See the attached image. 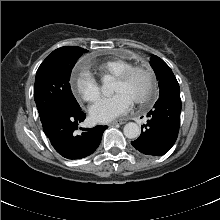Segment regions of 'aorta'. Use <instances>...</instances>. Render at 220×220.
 I'll list each match as a JSON object with an SVG mask.
<instances>
[{"label":"aorta","mask_w":220,"mask_h":220,"mask_svg":"<svg viewBox=\"0 0 220 220\" xmlns=\"http://www.w3.org/2000/svg\"><path fill=\"white\" fill-rule=\"evenodd\" d=\"M104 94H109L112 92L111 84L105 83L102 87ZM124 135L129 139H136L140 136L141 130L138 124L134 122H129L124 126L123 129Z\"/></svg>","instance_id":"obj_1"}]
</instances>
